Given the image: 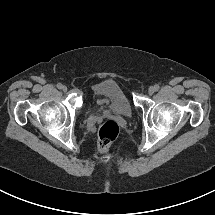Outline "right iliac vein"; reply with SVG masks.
Listing matches in <instances>:
<instances>
[{"instance_id":"1","label":"right iliac vein","mask_w":215,"mask_h":215,"mask_svg":"<svg viewBox=\"0 0 215 215\" xmlns=\"http://www.w3.org/2000/svg\"><path fill=\"white\" fill-rule=\"evenodd\" d=\"M64 92H66L67 91V87L66 86H62V88H61Z\"/></svg>"}]
</instances>
